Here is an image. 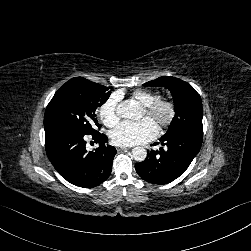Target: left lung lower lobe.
I'll return each instance as SVG.
<instances>
[{
	"instance_id": "0a47b994",
	"label": "left lung lower lobe",
	"mask_w": 251,
	"mask_h": 251,
	"mask_svg": "<svg viewBox=\"0 0 251 251\" xmlns=\"http://www.w3.org/2000/svg\"><path fill=\"white\" fill-rule=\"evenodd\" d=\"M203 136L176 133L160 139V151L151 150L144 161L135 164L138 175L153 184H167L182 175L198 154ZM158 143H154L157 145Z\"/></svg>"
}]
</instances>
